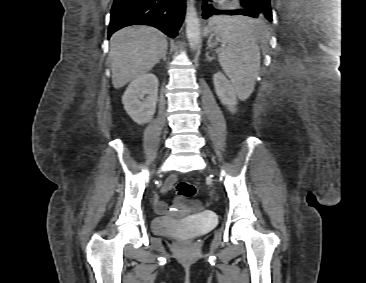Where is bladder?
Listing matches in <instances>:
<instances>
[{
  "label": "bladder",
  "mask_w": 366,
  "mask_h": 283,
  "mask_svg": "<svg viewBox=\"0 0 366 283\" xmlns=\"http://www.w3.org/2000/svg\"><path fill=\"white\" fill-rule=\"evenodd\" d=\"M215 224L205 218L191 221H180L170 218L158 217L152 222L153 232L163 236L177 238H195L212 228Z\"/></svg>",
  "instance_id": "obj_1"
}]
</instances>
